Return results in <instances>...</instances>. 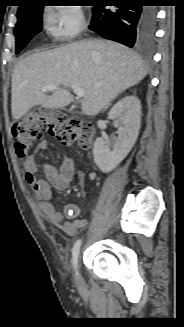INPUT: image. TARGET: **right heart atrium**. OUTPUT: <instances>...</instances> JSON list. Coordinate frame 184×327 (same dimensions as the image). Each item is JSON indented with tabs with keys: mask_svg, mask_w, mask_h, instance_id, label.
<instances>
[{
	"mask_svg": "<svg viewBox=\"0 0 184 327\" xmlns=\"http://www.w3.org/2000/svg\"><path fill=\"white\" fill-rule=\"evenodd\" d=\"M49 33L60 41H72L87 28V20L78 5H65L45 15Z\"/></svg>",
	"mask_w": 184,
	"mask_h": 327,
	"instance_id": "d8ad5b80",
	"label": "right heart atrium"
}]
</instances>
